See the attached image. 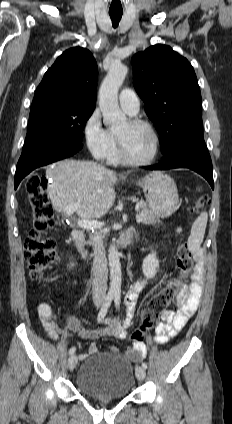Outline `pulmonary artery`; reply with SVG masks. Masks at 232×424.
Segmentation results:
<instances>
[{
    "mask_svg": "<svg viewBox=\"0 0 232 424\" xmlns=\"http://www.w3.org/2000/svg\"><path fill=\"white\" fill-rule=\"evenodd\" d=\"M119 105L129 115H136L140 108L137 94L130 88L123 89L119 94Z\"/></svg>",
    "mask_w": 232,
    "mask_h": 424,
    "instance_id": "1",
    "label": "pulmonary artery"
}]
</instances>
